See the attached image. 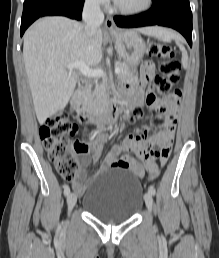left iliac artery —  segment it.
Instances as JSON below:
<instances>
[{
    "label": "left iliac artery",
    "mask_w": 219,
    "mask_h": 258,
    "mask_svg": "<svg viewBox=\"0 0 219 258\" xmlns=\"http://www.w3.org/2000/svg\"><path fill=\"white\" fill-rule=\"evenodd\" d=\"M148 192H149L150 194H152V195H155L156 190H155V188H154L153 186H149V187H148Z\"/></svg>",
    "instance_id": "44dca946"
}]
</instances>
